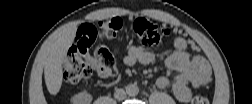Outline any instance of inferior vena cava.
<instances>
[{"label":"inferior vena cava","mask_w":252,"mask_h":104,"mask_svg":"<svg viewBox=\"0 0 252 104\" xmlns=\"http://www.w3.org/2000/svg\"><path fill=\"white\" fill-rule=\"evenodd\" d=\"M114 98L116 100H124L126 98V92L124 89H116L114 92Z\"/></svg>","instance_id":"602c4592"}]
</instances>
